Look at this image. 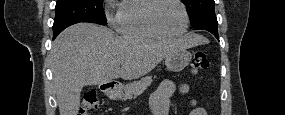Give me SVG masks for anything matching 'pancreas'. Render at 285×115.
<instances>
[{
    "instance_id": "1",
    "label": "pancreas",
    "mask_w": 285,
    "mask_h": 115,
    "mask_svg": "<svg viewBox=\"0 0 285 115\" xmlns=\"http://www.w3.org/2000/svg\"><path fill=\"white\" fill-rule=\"evenodd\" d=\"M153 79L151 76H146L140 80L131 82L124 87L125 93L123 94V100L130 99L132 96H138L142 94L147 87L152 83Z\"/></svg>"
}]
</instances>
